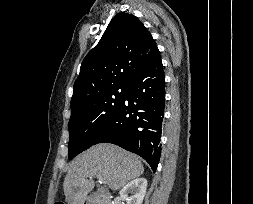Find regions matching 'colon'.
I'll return each instance as SVG.
<instances>
[{
    "mask_svg": "<svg viewBox=\"0 0 253 204\" xmlns=\"http://www.w3.org/2000/svg\"><path fill=\"white\" fill-rule=\"evenodd\" d=\"M54 204H65V202L63 200H61V199H56L54 201Z\"/></svg>",
    "mask_w": 253,
    "mask_h": 204,
    "instance_id": "obj_1",
    "label": "colon"
}]
</instances>
